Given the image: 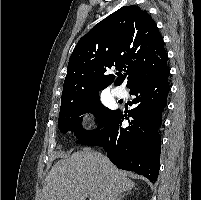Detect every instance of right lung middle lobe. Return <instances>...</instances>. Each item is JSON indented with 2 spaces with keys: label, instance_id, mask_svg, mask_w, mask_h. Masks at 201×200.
<instances>
[{
  "label": "right lung middle lobe",
  "instance_id": "1",
  "mask_svg": "<svg viewBox=\"0 0 201 200\" xmlns=\"http://www.w3.org/2000/svg\"><path fill=\"white\" fill-rule=\"evenodd\" d=\"M99 110L102 111L97 113ZM86 112L97 113L96 116L100 122L98 129L87 131L81 127L80 123L82 121V117L80 116ZM114 112V110L104 108L100 102L99 93L73 100L62 101L58 128L62 133H67L68 131L74 132L75 136L80 139L99 130V128H102Z\"/></svg>",
  "mask_w": 201,
  "mask_h": 200
}]
</instances>
